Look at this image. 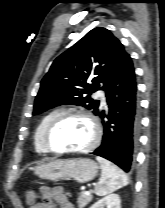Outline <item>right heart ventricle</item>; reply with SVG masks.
<instances>
[{
  "mask_svg": "<svg viewBox=\"0 0 165 208\" xmlns=\"http://www.w3.org/2000/svg\"><path fill=\"white\" fill-rule=\"evenodd\" d=\"M61 109H54L47 114H45L40 122L38 123L35 131H34V137H33V142H34V148L36 152L40 154H47L49 151L46 149L44 142H43V133L49 122L57 116L59 113H61Z\"/></svg>",
  "mask_w": 165,
  "mask_h": 208,
  "instance_id": "1",
  "label": "right heart ventricle"
}]
</instances>
